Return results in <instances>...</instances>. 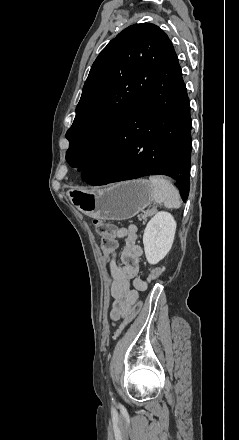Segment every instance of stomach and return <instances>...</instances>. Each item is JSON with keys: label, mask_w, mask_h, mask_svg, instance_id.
Listing matches in <instances>:
<instances>
[{"label": "stomach", "mask_w": 239, "mask_h": 440, "mask_svg": "<svg viewBox=\"0 0 239 440\" xmlns=\"http://www.w3.org/2000/svg\"><path fill=\"white\" fill-rule=\"evenodd\" d=\"M153 192L148 180H129L106 188L74 190V206L89 218L129 220L153 202Z\"/></svg>", "instance_id": "0dacf381"}]
</instances>
